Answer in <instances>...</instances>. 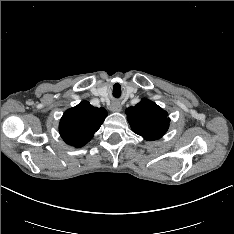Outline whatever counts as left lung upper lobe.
Here are the masks:
<instances>
[{
  "mask_svg": "<svg viewBox=\"0 0 234 234\" xmlns=\"http://www.w3.org/2000/svg\"><path fill=\"white\" fill-rule=\"evenodd\" d=\"M126 114L132 130L146 140H157L168 130L167 112L148 99L127 108Z\"/></svg>",
  "mask_w": 234,
  "mask_h": 234,
  "instance_id": "left-lung-upper-lobe-1",
  "label": "left lung upper lobe"
}]
</instances>
